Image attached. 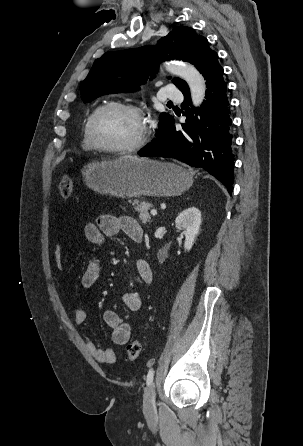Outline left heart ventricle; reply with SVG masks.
Here are the masks:
<instances>
[{"label": "left heart ventricle", "instance_id": "obj_1", "mask_svg": "<svg viewBox=\"0 0 303 446\" xmlns=\"http://www.w3.org/2000/svg\"><path fill=\"white\" fill-rule=\"evenodd\" d=\"M141 128V121L134 114L110 109L98 115L94 122L93 132L100 144L118 147L134 142Z\"/></svg>", "mask_w": 303, "mask_h": 446}]
</instances>
